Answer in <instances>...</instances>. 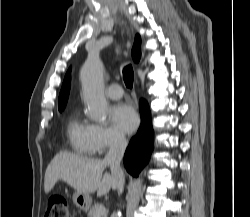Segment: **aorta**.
<instances>
[{
  "mask_svg": "<svg viewBox=\"0 0 250 217\" xmlns=\"http://www.w3.org/2000/svg\"><path fill=\"white\" fill-rule=\"evenodd\" d=\"M103 72V64L96 55H90L80 71L83 100L88 117L95 122H103L109 109L104 96Z\"/></svg>",
  "mask_w": 250,
  "mask_h": 217,
  "instance_id": "1",
  "label": "aorta"
}]
</instances>
